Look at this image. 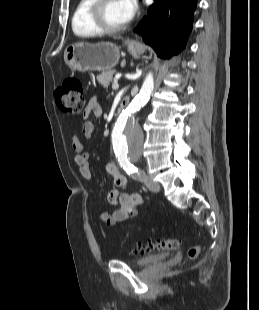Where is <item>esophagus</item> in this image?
<instances>
[{
    "label": "esophagus",
    "instance_id": "34e87169",
    "mask_svg": "<svg viewBox=\"0 0 259 310\" xmlns=\"http://www.w3.org/2000/svg\"><path fill=\"white\" fill-rule=\"evenodd\" d=\"M130 45H131V46H134V47H138V46H139V43H138L136 40H131V41H130Z\"/></svg>",
    "mask_w": 259,
    "mask_h": 310
}]
</instances>
